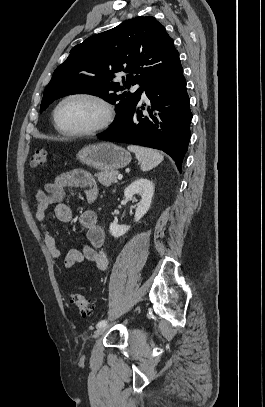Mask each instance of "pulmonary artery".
I'll use <instances>...</instances> for the list:
<instances>
[{
	"mask_svg": "<svg viewBox=\"0 0 265 407\" xmlns=\"http://www.w3.org/2000/svg\"><path fill=\"white\" fill-rule=\"evenodd\" d=\"M146 97V95H145V93H143V98H145Z\"/></svg>",
	"mask_w": 265,
	"mask_h": 407,
	"instance_id": "pulmonary-artery-1",
	"label": "pulmonary artery"
}]
</instances>
